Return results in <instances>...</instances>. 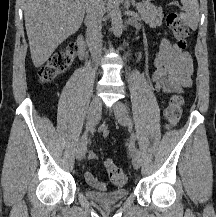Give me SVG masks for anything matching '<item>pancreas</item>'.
<instances>
[{
    "instance_id": "cf45deb5",
    "label": "pancreas",
    "mask_w": 216,
    "mask_h": 217,
    "mask_svg": "<svg viewBox=\"0 0 216 217\" xmlns=\"http://www.w3.org/2000/svg\"><path fill=\"white\" fill-rule=\"evenodd\" d=\"M137 9L142 20L150 27L154 28L162 25V8H157L150 3H138Z\"/></svg>"
}]
</instances>
